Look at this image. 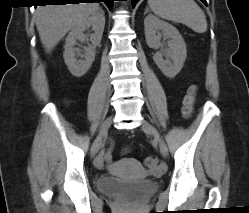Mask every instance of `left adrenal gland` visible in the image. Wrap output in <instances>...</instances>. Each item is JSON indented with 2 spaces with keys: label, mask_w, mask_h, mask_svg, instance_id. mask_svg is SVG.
<instances>
[{
  "label": "left adrenal gland",
  "mask_w": 249,
  "mask_h": 213,
  "mask_svg": "<svg viewBox=\"0 0 249 213\" xmlns=\"http://www.w3.org/2000/svg\"><path fill=\"white\" fill-rule=\"evenodd\" d=\"M148 11H149V8L146 7V10H145V12H144V15H146Z\"/></svg>",
  "instance_id": "obj_1"
}]
</instances>
